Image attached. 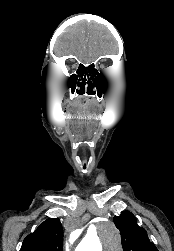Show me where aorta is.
<instances>
[{"label": "aorta", "instance_id": "obj_1", "mask_svg": "<svg viewBox=\"0 0 174 251\" xmlns=\"http://www.w3.org/2000/svg\"><path fill=\"white\" fill-rule=\"evenodd\" d=\"M105 246L107 251H117L120 247V236L113 225H107L103 229ZM75 251H102V245L96 239L84 238Z\"/></svg>", "mask_w": 174, "mask_h": 251}]
</instances>
